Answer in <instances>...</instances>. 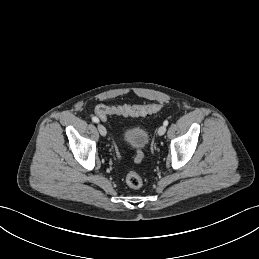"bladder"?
<instances>
[{
  "instance_id": "31cf9c89",
  "label": "bladder",
  "mask_w": 259,
  "mask_h": 259,
  "mask_svg": "<svg viewBox=\"0 0 259 259\" xmlns=\"http://www.w3.org/2000/svg\"><path fill=\"white\" fill-rule=\"evenodd\" d=\"M125 140L132 148H144L148 143L149 135L140 127H132L125 131Z\"/></svg>"
}]
</instances>
